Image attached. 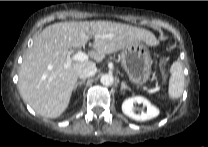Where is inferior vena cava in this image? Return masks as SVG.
<instances>
[{"label":"inferior vena cava","mask_w":208,"mask_h":147,"mask_svg":"<svg viewBox=\"0 0 208 147\" xmlns=\"http://www.w3.org/2000/svg\"><path fill=\"white\" fill-rule=\"evenodd\" d=\"M97 72V67L95 64H91L88 65L86 67H84L83 69H81L78 72V77L81 79H86L88 77H91L93 75H95V73Z\"/></svg>","instance_id":"inferior-vena-cava-1"}]
</instances>
